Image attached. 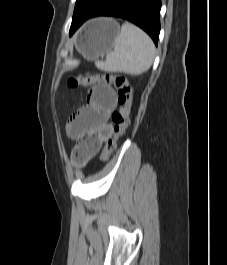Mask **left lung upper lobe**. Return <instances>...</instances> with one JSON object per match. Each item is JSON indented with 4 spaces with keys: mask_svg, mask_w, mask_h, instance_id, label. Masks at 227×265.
I'll return each instance as SVG.
<instances>
[{
    "mask_svg": "<svg viewBox=\"0 0 227 265\" xmlns=\"http://www.w3.org/2000/svg\"><path fill=\"white\" fill-rule=\"evenodd\" d=\"M104 1L105 0H77L71 26L89 17Z\"/></svg>",
    "mask_w": 227,
    "mask_h": 265,
    "instance_id": "obj_1",
    "label": "left lung upper lobe"
}]
</instances>
